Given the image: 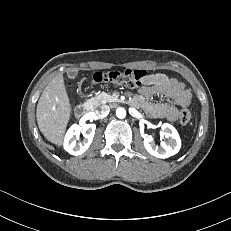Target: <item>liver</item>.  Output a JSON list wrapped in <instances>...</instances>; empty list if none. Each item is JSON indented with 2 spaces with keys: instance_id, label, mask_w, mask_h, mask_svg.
<instances>
[{
  "instance_id": "1",
  "label": "liver",
  "mask_w": 231,
  "mask_h": 231,
  "mask_svg": "<svg viewBox=\"0 0 231 231\" xmlns=\"http://www.w3.org/2000/svg\"><path fill=\"white\" fill-rule=\"evenodd\" d=\"M71 113L64 77L58 74L43 90L36 109L38 127L48 141L58 146L63 144Z\"/></svg>"
}]
</instances>
